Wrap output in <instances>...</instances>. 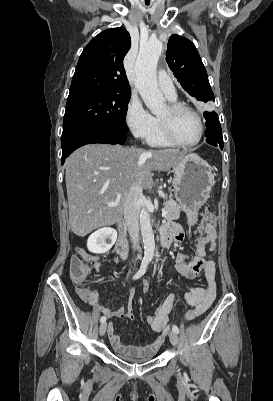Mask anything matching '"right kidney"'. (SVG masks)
<instances>
[{"label":"right kidney","instance_id":"1","mask_svg":"<svg viewBox=\"0 0 273 401\" xmlns=\"http://www.w3.org/2000/svg\"><path fill=\"white\" fill-rule=\"evenodd\" d=\"M117 233L115 229H110V227H104V229H98L95 233L90 235L87 241V249L91 253H107L116 243Z\"/></svg>","mask_w":273,"mask_h":401}]
</instances>
